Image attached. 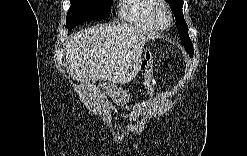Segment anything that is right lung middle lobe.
Listing matches in <instances>:
<instances>
[{"label": "right lung middle lobe", "mask_w": 247, "mask_h": 156, "mask_svg": "<svg viewBox=\"0 0 247 156\" xmlns=\"http://www.w3.org/2000/svg\"><path fill=\"white\" fill-rule=\"evenodd\" d=\"M66 27L71 30L76 25L89 20H99L111 13L112 0H70Z\"/></svg>", "instance_id": "1"}]
</instances>
